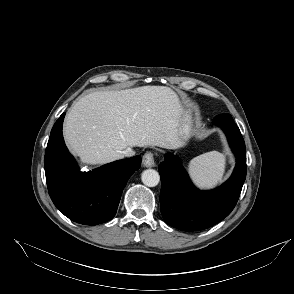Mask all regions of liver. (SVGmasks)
I'll use <instances>...</instances> for the list:
<instances>
[{"label": "liver", "mask_w": 294, "mask_h": 294, "mask_svg": "<svg viewBox=\"0 0 294 294\" xmlns=\"http://www.w3.org/2000/svg\"><path fill=\"white\" fill-rule=\"evenodd\" d=\"M183 111L177 95L166 86L96 91L72 106L64 137L83 163L102 165L122 159L127 147H178Z\"/></svg>", "instance_id": "obj_1"}]
</instances>
